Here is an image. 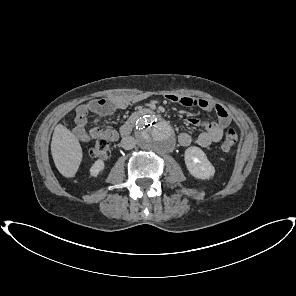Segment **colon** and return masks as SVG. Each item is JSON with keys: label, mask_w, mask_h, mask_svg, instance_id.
Masks as SVG:
<instances>
[{"label": "colon", "mask_w": 296, "mask_h": 296, "mask_svg": "<svg viewBox=\"0 0 296 296\" xmlns=\"http://www.w3.org/2000/svg\"><path fill=\"white\" fill-rule=\"evenodd\" d=\"M238 134L234 127H230L222 141L220 148L222 151H229L237 142ZM89 155L92 158L107 160L111 156V148L105 139L98 140L89 150Z\"/></svg>", "instance_id": "1"}]
</instances>
